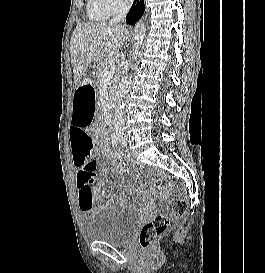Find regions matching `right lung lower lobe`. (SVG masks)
Listing matches in <instances>:
<instances>
[{
	"mask_svg": "<svg viewBox=\"0 0 265 273\" xmlns=\"http://www.w3.org/2000/svg\"><path fill=\"white\" fill-rule=\"evenodd\" d=\"M144 0H134V3L126 16V22L134 25L144 13Z\"/></svg>",
	"mask_w": 265,
	"mask_h": 273,
	"instance_id": "obj_1",
	"label": "right lung lower lobe"
}]
</instances>
